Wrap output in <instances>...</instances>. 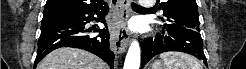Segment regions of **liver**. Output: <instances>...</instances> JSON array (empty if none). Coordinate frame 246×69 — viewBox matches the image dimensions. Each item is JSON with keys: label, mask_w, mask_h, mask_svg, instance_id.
I'll return each mask as SVG.
<instances>
[{"label": "liver", "mask_w": 246, "mask_h": 69, "mask_svg": "<svg viewBox=\"0 0 246 69\" xmlns=\"http://www.w3.org/2000/svg\"><path fill=\"white\" fill-rule=\"evenodd\" d=\"M37 69H107L104 61L95 55L69 47L49 53L38 64Z\"/></svg>", "instance_id": "6515ba94"}]
</instances>
